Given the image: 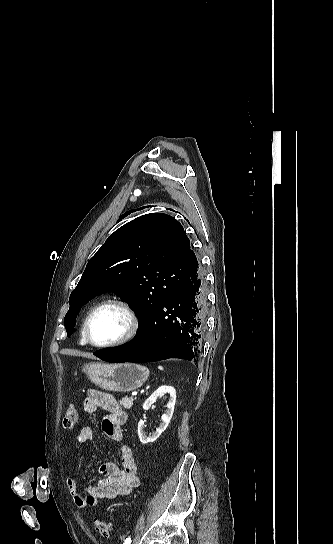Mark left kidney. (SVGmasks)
<instances>
[{"mask_svg": "<svg viewBox=\"0 0 333 544\" xmlns=\"http://www.w3.org/2000/svg\"><path fill=\"white\" fill-rule=\"evenodd\" d=\"M169 395V400L167 403V410L162 415L161 419L162 422L160 423L159 427L156 429V431L152 432V434L148 435L147 432L144 431V420H140L138 423V436L141 441V443L146 444L149 442H154L163 431L166 430L168 427L170 420L172 418L173 412H174V406L176 402V390L172 386H160L143 404V409L148 410L152 404L156 402V400L164 395Z\"/></svg>", "mask_w": 333, "mask_h": 544, "instance_id": "obj_1", "label": "left kidney"}]
</instances>
